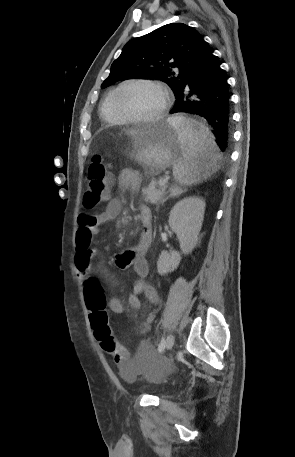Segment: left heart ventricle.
I'll use <instances>...</instances> for the list:
<instances>
[{
  "label": "left heart ventricle",
  "mask_w": 295,
  "mask_h": 457,
  "mask_svg": "<svg viewBox=\"0 0 295 457\" xmlns=\"http://www.w3.org/2000/svg\"><path fill=\"white\" fill-rule=\"evenodd\" d=\"M121 104L133 116L149 117L161 110L164 104V95L155 86H133L123 93Z\"/></svg>",
  "instance_id": "1"
}]
</instances>
